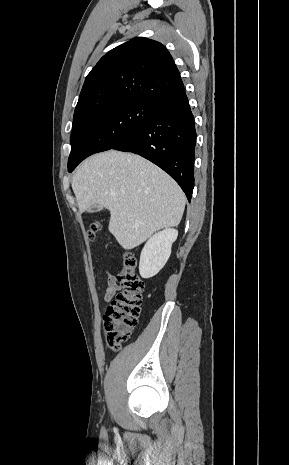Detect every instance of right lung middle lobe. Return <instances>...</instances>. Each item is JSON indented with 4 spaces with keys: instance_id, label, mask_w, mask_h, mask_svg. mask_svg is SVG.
<instances>
[{
    "instance_id": "1",
    "label": "right lung middle lobe",
    "mask_w": 289,
    "mask_h": 465,
    "mask_svg": "<svg viewBox=\"0 0 289 465\" xmlns=\"http://www.w3.org/2000/svg\"><path fill=\"white\" fill-rule=\"evenodd\" d=\"M155 109L153 101H121L97 109L73 125L68 171L86 157L124 141L153 115Z\"/></svg>"
}]
</instances>
